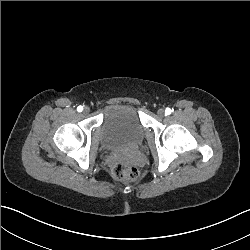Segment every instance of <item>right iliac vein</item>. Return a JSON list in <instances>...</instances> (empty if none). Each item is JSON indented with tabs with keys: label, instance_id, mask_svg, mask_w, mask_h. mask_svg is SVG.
I'll use <instances>...</instances> for the list:
<instances>
[{
	"label": "right iliac vein",
	"instance_id": "obj_1",
	"mask_svg": "<svg viewBox=\"0 0 250 250\" xmlns=\"http://www.w3.org/2000/svg\"><path fill=\"white\" fill-rule=\"evenodd\" d=\"M90 112V108L89 107H85L83 110L84 114H88Z\"/></svg>",
	"mask_w": 250,
	"mask_h": 250
}]
</instances>
